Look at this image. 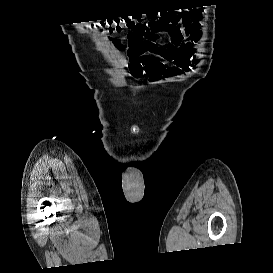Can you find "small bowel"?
Instances as JSON below:
<instances>
[{
    "label": "small bowel",
    "mask_w": 273,
    "mask_h": 273,
    "mask_svg": "<svg viewBox=\"0 0 273 273\" xmlns=\"http://www.w3.org/2000/svg\"><path fill=\"white\" fill-rule=\"evenodd\" d=\"M201 15L198 12L170 14L167 20L157 18L147 24H157L149 35L138 44H132L127 38H111L110 42L126 53L125 66L129 76L138 80L148 76L151 80L173 78L193 67L197 60L193 58L194 43L202 37ZM168 39L161 41L160 36ZM172 62V67H165L159 60Z\"/></svg>",
    "instance_id": "1"
}]
</instances>
